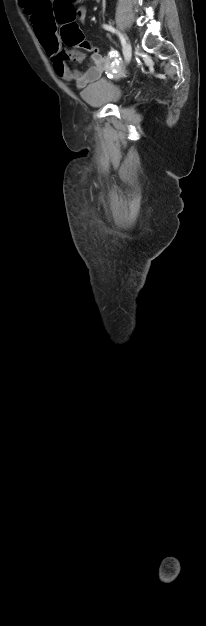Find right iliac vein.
Wrapping results in <instances>:
<instances>
[{"label":"right iliac vein","instance_id":"1","mask_svg":"<svg viewBox=\"0 0 206 626\" xmlns=\"http://www.w3.org/2000/svg\"><path fill=\"white\" fill-rule=\"evenodd\" d=\"M124 39L126 41V44L124 46L123 52H124L126 62H129L132 56L131 44L126 36H124Z\"/></svg>","mask_w":206,"mask_h":626}]
</instances>
